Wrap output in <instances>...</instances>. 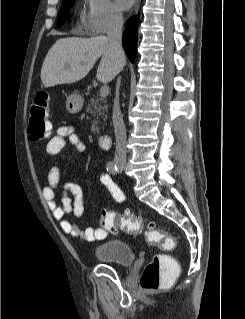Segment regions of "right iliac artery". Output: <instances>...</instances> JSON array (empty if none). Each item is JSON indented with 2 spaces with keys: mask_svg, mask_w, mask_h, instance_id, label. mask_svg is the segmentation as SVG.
<instances>
[{
  "mask_svg": "<svg viewBox=\"0 0 245 319\" xmlns=\"http://www.w3.org/2000/svg\"><path fill=\"white\" fill-rule=\"evenodd\" d=\"M106 169L109 173L116 175L118 173V168L116 166V164L112 161H109L106 165ZM118 192L120 193V197L116 198L117 202H122L124 200V195L123 193L120 191V189H118Z\"/></svg>",
  "mask_w": 245,
  "mask_h": 319,
  "instance_id": "obj_1",
  "label": "right iliac artery"
}]
</instances>
